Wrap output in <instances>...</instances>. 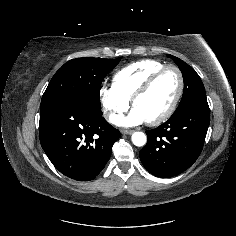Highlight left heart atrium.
Here are the masks:
<instances>
[{"mask_svg":"<svg viewBox=\"0 0 236 236\" xmlns=\"http://www.w3.org/2000/svg\"><path fill=\"white\" fill-rule=\"evenodd\" d=\"M115 122L120 126H134L146 122V119L136 108H134L127 116L119 117Z\"/></svg>","mask_w":236,"mask_h":236,"instance_id":"obj_1","label":"left heart atrium"}]
</instances>
